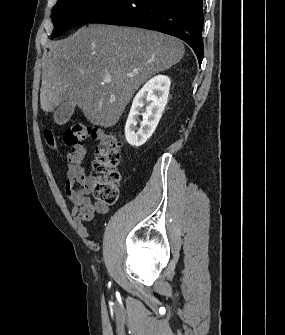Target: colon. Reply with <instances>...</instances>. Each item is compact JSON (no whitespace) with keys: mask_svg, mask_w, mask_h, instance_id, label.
<instances>
[{"mask_svg":"<svg viewBox=\"0 0 285 335\" xmlns=\"http://www.w3.org/2000/svg\"><path fill=\"white\" fill-rule=\"evenodd\" d=\"M46 144L57 149V139L50 129L43 131ZM64 142L69 146L67 161L71 165H80L84 156V142L93 139L97 142L93 169L98 174L91 178V190L95 199L105 205L114 204L119 197L121 176L118 171L120 144L118 139L98 127L76 123L63 134Z\"/></svg>","mask_w":285,"mask_h":335,"instance_id":"5ec220e1","label":"colon"}]
</instances>
